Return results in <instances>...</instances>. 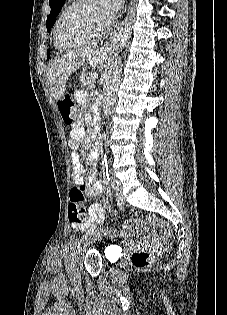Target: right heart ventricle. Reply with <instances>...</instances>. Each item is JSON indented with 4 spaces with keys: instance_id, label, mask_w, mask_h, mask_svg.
Segmentation results:
<instances>
[{
    "instance_id": "1",
    "label": "right heart ventricle",
    "mask_w": 227,
    "mask_h": 315,
    "mask_svg": "<svg viewBox=\"0 0 227 315\" xmlns=\"http://www.w3.org/2000/svg\"><path fill=\"white\" fill-rule=\"evenodd\" d=\"M68 6H69V5H67V6L63 9V11H64ZM63 11L61 12V14L63 13ZM61 14H60V15H61Z\"/></svg>"
}]
</instances>
